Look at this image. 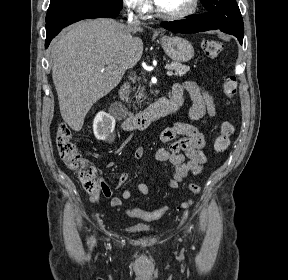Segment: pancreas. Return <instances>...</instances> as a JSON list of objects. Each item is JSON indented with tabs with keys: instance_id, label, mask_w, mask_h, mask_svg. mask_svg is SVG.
<instances>
[{
	"instance_id": "pancreas-1",
	"label": "pancreas",
	"mask_w": 288,
	"mask_h": 280,
	"mask_svg": "<svg viewBox=\"0 0 288 280\" xmlns=\"http://www.w3.org/2000/svg\"><path fill=\"white\" fill-rule=\"evenodd\" d=\"M167 67L171 68V70H174L176 76H183L190 70V67L182 65L178 62H172L171 64H168ZM143 90L144 89L141 88L138 98L143 97Z\"/></svg>"
}]
</instances>
